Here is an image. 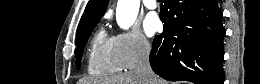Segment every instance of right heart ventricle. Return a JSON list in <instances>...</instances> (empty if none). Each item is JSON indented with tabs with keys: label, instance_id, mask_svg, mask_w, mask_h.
<instances>
[{
	"label": "right heart ventricle",
	"instance_id": "e07e8e85",
	"mask_svg": "<svg viewBox=\"0 0 260 84\" xmlns=\"http://www.w3.org/2000/svg\"><path fill=\"white\" fill-rule=\"evenodd\" d=\"M122 67L116 57L114 38L99 30L91 40L87 71L93 76H107L120 72Z\"/></svg>",
	"mask_w": 260,
	"mask_h": 84
}]
</instances>
